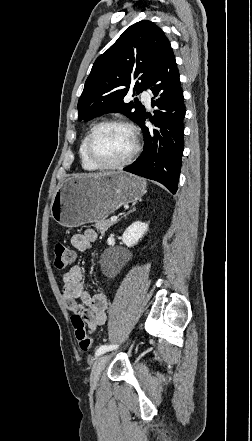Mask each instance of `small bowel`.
<instances>
[{"instance_id":"c3829d8e","label":"small bowel","mask_w":252,"mask_h":441,"mask_svg":"<svg viewBox=\"0 0 252 441\" xmlns=\"http://www.w3.org/2000/svg\"><path fill=\"white\" fill-rule=\"evenodd\" d=\"M97 239L94 229H86L71 237L72 246L79 251H86ZM62 295L66 307L73 313L79 314L93 332L98 326L105 324L109 300L105 293L91 295L83 282V271L79 265L72 266L63 278ZM80 300V303L78 302Z\"/></svg>"}]
</instances>
